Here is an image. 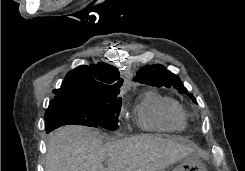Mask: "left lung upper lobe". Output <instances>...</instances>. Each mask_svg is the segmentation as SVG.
I'll use <instances>...</instances> for the list:
<instances>
[{
  "label": "left lung upper lobe",
  "instance_id": "obj_1",
  "mask_svg": "<svg viewBox=\"0 0 245 171\" xmlns=\"http://www.w3.org/2000/svg\"><path fill=\"white\" fill-rule=\"evenodd\" d=\"M154 68L155 69H153V66H145L141 68L133 80L150 86H164L167 88L173 87L177 89L179 93L187 94L192 101L197 104L194 96L188 93L178 76L166 70L162 65H154Z\"/></svg>",
  "mask_w": 245,
  "mask_h": 171
}]
</instances>
